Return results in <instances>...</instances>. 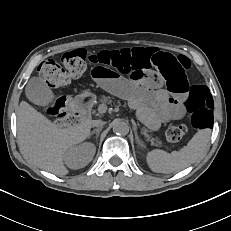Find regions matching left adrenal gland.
Wrapping results in <instances>:
<instances>
[{
	"label": "left adrenal gland",
	"instance_id": "a2214340",
	"mask_svg": "<svg viewBox=\"0 0 231 231\" xmlns=\"http://www.w3.org/2000/svg\"><path fill=\"white\" fill-rule=\"evenodd\" d=\"M135 139H136V143L140 146L145 148V145L143 144V142L139 139L137 131L135 130Z\"/></svg>",
	"mask_w": 231,
	"mask_h": 231
}]
</instances>
